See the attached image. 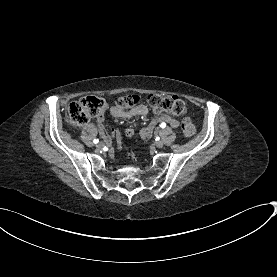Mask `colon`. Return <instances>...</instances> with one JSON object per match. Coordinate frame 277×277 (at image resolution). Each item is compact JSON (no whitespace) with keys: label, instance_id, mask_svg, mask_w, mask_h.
Wrapping results in <instances>:
<instances>
[{"label":"colon","instance_id":"colon-1","mask_svg":"<svg viewBox=\"0 0 277 277\" xmlns=\"http://www.w3.org/2000/svg\"><path fill=\"white\" fill-rule=\"evenodd\" d=\"M114 101L122 109L134 105L128 95L116 96ZM147 103L159 115L183 116L187 111L186 104L175 95L150 94L147 97ZM69 106L72 124L81 127L87 124L89 120H98L104 111L105 103L101 94H90L84 99H70ZM180 128L185 136H192L195 131L192 121L188 118L181 121Z\"/></svg>","mask_w":277,"mask_h":277}]
</instances>
